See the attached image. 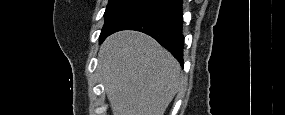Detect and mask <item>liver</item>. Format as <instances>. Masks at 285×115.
Wrapping results in <instances>:
<instances>
[{"label":"liver","mask_w":285,"mask_h":115,"mask_svg":"<svg viewBox=\"0 0 285 115\" xmlns=\"http://www.w3.org/2000/svg\"><path fill=\"white\" fill-rule=\"evenodd\" d=\"M113 115H164L182 80L178 61L150 36L121 31L98 54Z\"/></svg>","instance_id":"obj_1"}]
</instances>
